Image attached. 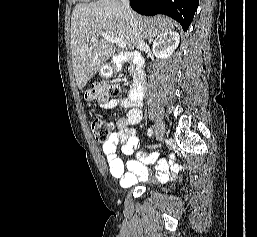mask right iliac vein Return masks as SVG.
<instances>
[{"label": "right iliac vein", "mask_w": 257, "mask_h": 237, "mask_svg": "<svg viewBox=\"0 0 257 237\" xmlns=\"http://www.w3.org/2000/svg\"><path fill=\"white\" fill-rule=\"evenodd\" d=\"M155 137L158 141H162L164 137V128L160 122L155 125Z\"/></svg>", "instance_id": "1"}]
</instances>
